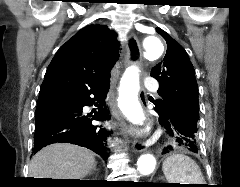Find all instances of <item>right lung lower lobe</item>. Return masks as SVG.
I'll return each mask as SVG.
<instances>
[{
  "label": "right lung lower lobe",
  "instance_id": "obj_1",
  "mask_svg": "<svg viewBox=\"0 0 240 187\" xmlns=\"http://www.w3.org/2000/svg\"><path fill=\"white\" fill-rule=\"evenodd\" d=\"M110 81L95 85L72 98L53 99L36 107L34 148L35 154L43 147L67 142L86 147L99 154L104 160L108 158L106 139L110 132L93 121L110 118L105 98ZM99 105L88 114L83 113L84 106Z\"/></svg>",
  "mask_w": 240,
  "mask_h": 187
}]
</instances>
